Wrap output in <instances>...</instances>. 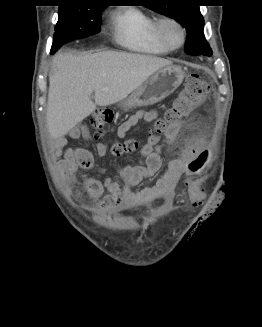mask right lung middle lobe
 I'll use <instances>...</instances> for the list:
<instances>
[{
  "instance_id": "dd1d6c3e",
  "label": "right lung middle lobe",
  "mask_w": 262,
  "mask_h": 327,
  "mask_svg": "<svg viewBox=\"0 0 262 327\" xmlns=\"http://www.w3.org/2000/svg\"><path fill=\"white\" fill-rule=\"evenodd\" d=\"M104 6L91 2L67 3L59 6L51 54L63 44L100 32Z\"/></svg>"
}]
</instances>
